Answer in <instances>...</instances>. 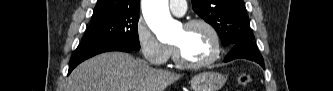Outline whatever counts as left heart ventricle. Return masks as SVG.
I'll return each mask as SVG.
<instances>
[{
	"label": "left heart ventricle",
	"instance_id": "1",
	"mask_svg": "<svg viewBox=\"0 0 333 91\" xmlns=\"http://www.w3.org/2000/svg\"><path fill=\"white\" fill-rule=\"evenodd\" d=\"M173 44L178 46L184 58L191 62L204 61L214 52L213 38L209 31L201 26L191 29L182 27Z\"/></svg>",
	"mask_w": 333,
	"mask_h": 91
}]
</instances>
